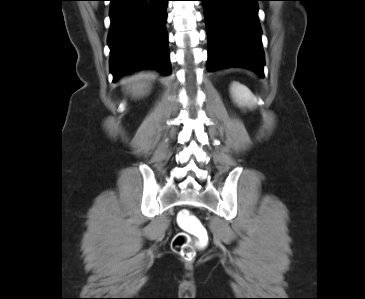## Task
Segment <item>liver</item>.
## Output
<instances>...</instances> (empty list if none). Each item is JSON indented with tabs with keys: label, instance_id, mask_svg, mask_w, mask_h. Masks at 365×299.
I'll list each match as a JSON object with an SVG mask.
<instances>
[{
	"label": "liver",
	"instance_id": "obj_1",
	"mask_svg": "<svg viewBox=\"0 0 365 299\" xmlns=\"http://www.w3.org/2000/svg\"><path fill=\"white\" fill-rule=\"evenodd\" d=\"M150 84V81L143 74H140L126 85V89L131 95L140 97L148 93Z\"/></svg>",
	"mask_w": 365,
	"mask_h": 299
}]
</instances>
